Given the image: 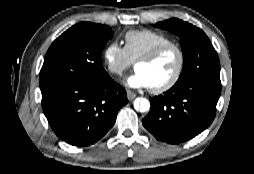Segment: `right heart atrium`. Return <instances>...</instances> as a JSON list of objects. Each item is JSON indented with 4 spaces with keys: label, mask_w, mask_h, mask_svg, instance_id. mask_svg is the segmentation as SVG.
<instances>
[{
    "label": "right heart atrium",
    "mask_w": 254,
    "mask_h": 174,
    "mask_svg": "<svg viewBox=\"0 0 254 174\" xmlns=\"http://www.w3.org/2000/svg\"><path fill=\"white\" fill-rule=\"evenodd\" d=\"M103 61L108 72L113 75H121L133 64L125 47L116 41L110 42L104 48Z\"/></svg>",
    "instance_id": "d8ad5b80"
}]
</instances>
